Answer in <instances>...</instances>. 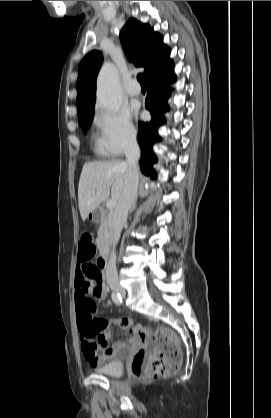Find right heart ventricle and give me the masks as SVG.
I'll use <instances>...</instances> for the list:
<instances>
[{
  "label": "right heart ventricle",
  "instance_id": "1",
  "mask_svg": "<svg viewBox=\"0 0 271 418\" xmlns=\"http://www.w3.org/2000/svg\"><path fill=\"white\" fill-rule=\"evenodd\" d=\"M94 150L99 155H105V154H107L105 152V150L103 149V147L101 146L100 139L99 138H95Z\"/></svg>",
  "mask_w": 271,
  "mask_h": 418
}]
</instances>
